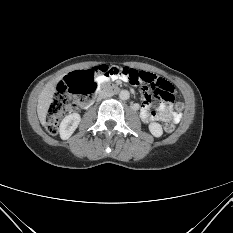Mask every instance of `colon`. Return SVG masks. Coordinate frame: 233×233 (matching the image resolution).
Here are the masks:
<instances>
[{
  "label": "colon",
  "mask_w": 233,
  "mask_h": 233,
  "mask_svg": "<svg viewBox=\"0 0 233 233\" xmlns=\"http://www.w3.org/2000/svg\"><path fill=\"white\" fill-rule=\"evenodd\" d=\"M95 75L116 76L125 79L130 84L138 85L146 91H152L155 97L165 101H170L174 95V88L169 82L127 67L102 65L93 70L74 72L69 74L57 86L54 99L46 116V128L49 133L56 134L58 132L61 118L71 109L72 104L69 95H72L77 102H85L91 98L95 90ZM175 108L180 109L181 105L177 103ZM174 129L175 125L173 123L164 125V130L168 133L173 132Z\"/></svg>",
  "instance_id": "obj_1"
}]
</instances>
